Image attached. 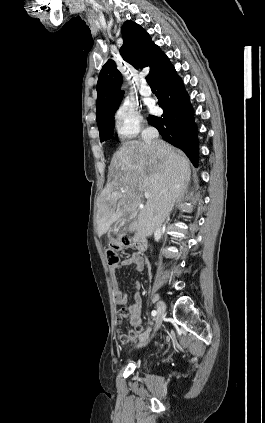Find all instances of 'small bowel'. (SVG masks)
Instances as JSON below:
<instances>
[{
  "label": "small bowel",
  "instance_id": "small-bowel-1",
  "mask_svg": "<svg viewBox=\"0 0 265 423\" xmlns=\"http://www.w3.org/2000/svg\"><path fill=\"white\" fill-rule=\"evenodd\" d=\"M143 259L139 254L133 253L126 257L124 260L118 262L117 264L111 265L109 267V275L111 278L112 292L115 302L122 307L121 315L128 317L129 323L132 326L133 330L129 334H121L120 339L122 343H128L133 341L135 338H145L147 337V332L142 328L143 318H142V301L140 296V283L136 282L134 290L132 292L133 301L129 302L130 295L123 294L119 288L117 280V271L121 268L129 265H133L135 271H140L143 268Z\"/></svg>",
  "mask_w": 265,
  "mask_h": 423
}]
</instances>
